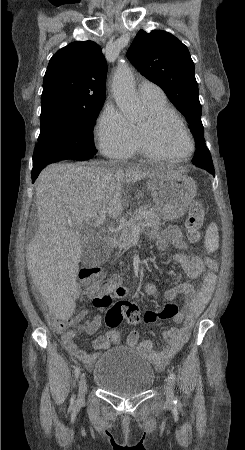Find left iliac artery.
<instances>
[{
  "label": "left iliac artery",
  "instance_id": "obj_1",
  "mask_svg": "<svg viewBox=\"0 0 245 450\" xmlns=\"http://www.w3.org/2000/svg\"><path fill=\"white\" fill-rule=\"evenodd\" d=\"M169 377L171 379L172 384L175 385V383H176V375L172 371H169ZM173 401H174L175 404H177L179 402L177 397H174Z\"/></svg>",
  "mask_w": 245,
  "mask_h": 450
}]
</instances>
